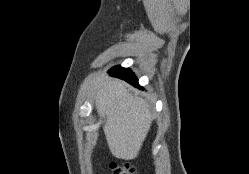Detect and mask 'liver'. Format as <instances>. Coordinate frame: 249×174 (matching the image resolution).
Returning <instances> with one entry per match:
<instances>
[{
  "label": "liver",
  "mask_w": 249,
  "mask_h": 174,
  "mask_svg": "<svg viewBox=\"0 0 249 174\" xmlns=\"http://www.w3.org/2000/svg\"><path fill=\"white\" fill-rule=\"evenodd\" d=\"M94 93L97 112L105 118L103 131L112 155L135 159L152 124L150 106L130 93L123 81L107 76L97 79Z\"/></svg>",
  "instance_id": "1"
}]
</instances>
